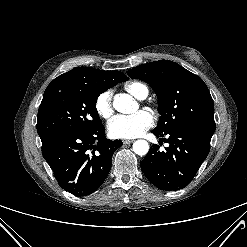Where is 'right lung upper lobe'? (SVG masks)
<instances>
[{
    "label": "right lung upper lobe",
    "instance_id": "obj_1",
    "mask_svg": "<svg viewBox=\"0 0 247 247\" xmlns=\"http://www.w3.org/2000/svg\"><path fill=\"white\" fill-rule=\"evenodd\" d=\"M126 80V75L120 71H102L90 67H78L55 78L48 85L45 92H48L60 85L72 82L95 83L109 89L119 82Z\"/></svg>",
    "mask_w": 247,
    "mask_h": 247
}]
</instances>
